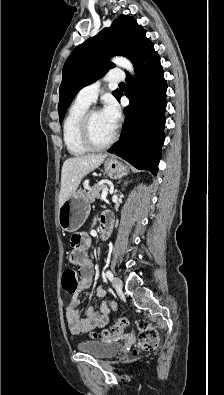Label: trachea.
Returning a JSON list of instances; mask_svg holds the SVG:
<instances>
[{
    "instance_id": "obj_1",
    "label": "trachea",
    "mask_w": 224,
    "mask_h": 395,
    "mask_svg": "<svg viewBox=\"0 0 224 395\" xmlns=\"http://www.w3.org/2000/svg\"><path fill=\"white\" fill-rule=\"evenodd\" d=\"M119 85L123 86V85H125V83H124V82H121Z\"/></svg>"
}]
</instances>
